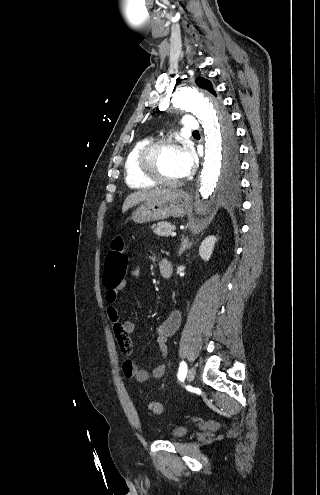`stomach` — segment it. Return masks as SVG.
Masks as SVG:
<instances>
[{"label": "stomach", "mask_w": 320, "mask_h": 495, "mask_svg": "<svg viewBox=\"0 0 320 495\" xmlns=\"http://www.w3.org/2000/svg\"><path fill=\"white\" fill-rule=\"evenodd\" d=\"M188 207V195L182 190L174 189L143 203L132 213L131 218L142 224L169 217H183L187 214Z\"/></svg>", "instance_id": "1"}]
</instances>
